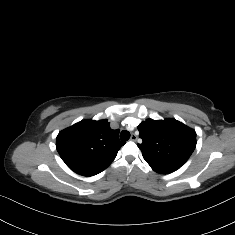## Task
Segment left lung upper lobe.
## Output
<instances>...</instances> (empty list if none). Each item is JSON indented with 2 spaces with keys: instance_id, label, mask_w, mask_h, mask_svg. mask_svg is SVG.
<instances>
[{
  "instance_id": "left-lung-upper-lobe-1",
  "label": "left lung upper lobe",
  "mask_w": 235,
  "mask_h": 235,
  "mask_svg": "<svg viewBox=\"0 0 235 235\" xmlns=\"http://www.w3.org/2000/svg\"><path fill=\"white\" fill-rule=\"evenodd\" d=\"M138 130L137 146L147 162L181 167L196 147V132L175 119H147Z\"/></svg>"
}]
</instances>
